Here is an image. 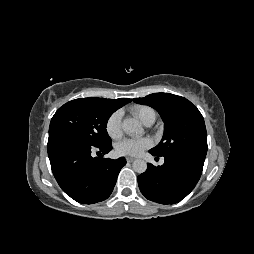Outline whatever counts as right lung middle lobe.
<instances>
[{
  "label": "right lung middle lobe",
  "instance_id": "obj_1",
  "mask_svg": "<svg viewBox=\"0 0 254 254\" xmlns=\"http://www.w3.org/2000/svg\"><path fill=\"white\" fill-rule=\"evenodd\" d=\"M116 109L104 98H79L60 107L51 119L50 133L77 137L94 146L111 143L106 125Z\"/></svg>",
  "mask_w": 254,
  "mask_h": 254
}]
</instances>
